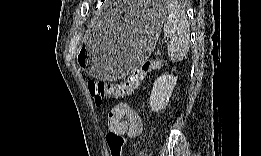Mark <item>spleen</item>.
<instances>
[{"label": "spleen", "instance_id": "spleen-1", "mask_svg": "<svg viewBox=\"0 0 261 156\" xmlns=\"http://www.w3.org/2000/svg\"><path fill=\"white\" fill-rule=\"evenodd\" d=\"M164 36L170 39L168 55L172 61L186 57L190 48V28L187 15L178 2L172 1L167 9Z\"/></svg>", "mask_w": 261, "mask_h": 156}]
</instances>
